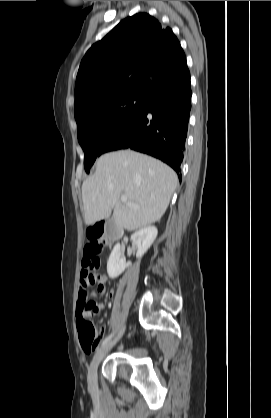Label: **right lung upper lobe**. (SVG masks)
I'll list each match as a JSON object with an SVG mask.
<instances>
[{
    "mask_svg": "<svg viewBox=\"0 0 271 418\" xmlns=\"http://www.w3.org/2000/svg\"><path fill=\"white\" fill-rule=\"evenodd\" d=\"M186 63L169 27L147 13L121 21L95 43L81 61L75 85L74 114L117 95L150 97Z\"/></svg>",
    "mask_w": 271,
    "mask_h": 418,
    "instance_id": "obj_1",
    "label": "right lung upper lobe"
}]
</instances>
